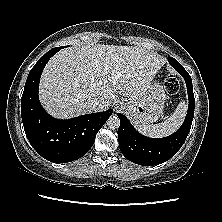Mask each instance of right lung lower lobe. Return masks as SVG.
Wrapping results in <instances>:
<instances>
[{"label": "right lung lower lobe", "instance_id": "obj_1", "mask_svg": "<svg viewBox=\"0 0 222 222\" xmlns=\"http://www.w3.org/2000/svg\"><path fill=\"white\" fill-rule=\"evenodd\" d=\"M59 50L56 47L48 51L30 70L21 100V116L33 148L48 161L65 163L77 160L89 151L113 110L60 120L43 109L38 96L39 80L45 65Z\"/></svg>", "mask_w": 222, "mask_h": 222}]
</instances>
